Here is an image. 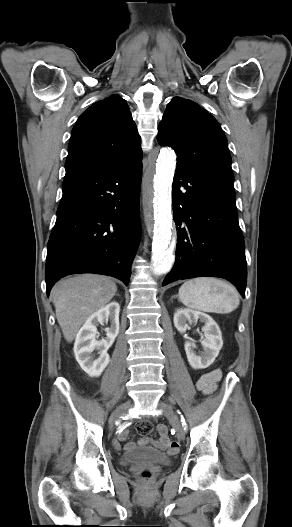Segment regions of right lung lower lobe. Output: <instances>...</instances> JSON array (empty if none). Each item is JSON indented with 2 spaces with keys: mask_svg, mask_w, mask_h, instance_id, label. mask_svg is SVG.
Wrapping results in <instances>:
<instances>
[{
  "mask_svg": "<svg viewBox=\"0 0 292 527\" xmlns=\"http://www.w3.org/2000/svg\"><path fill=\"white\" fill-rule=\"evenodd\" d=\"M141 157L66 172L47 246V295L55 282L74 273L109 275L128 285L140 238Z\"/></svg>",
  "mask_w": 292,
  "mask_h": 527,
  "instance_id": "98d812e1",
  "label": "right lung lower lobe"
}]
</instances>
